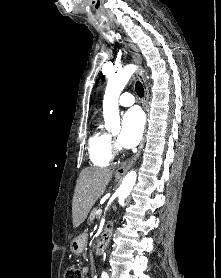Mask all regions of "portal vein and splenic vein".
I'll list each match as a JSON object with an SVG mask.
<instances>
[{
  "label": "portal vein and splenic vein",
  "instance_id": "18ae733b",
  "mask_svg": "<svg viewBox=\"0 0 221 278\" xmlns=\"http://www.w3.org/2000/svg\"><path fill=\"white\" fill-rule=\"evenodd\" d=\"M102 212H103V211H102V209H99V210H97V212H96V213H97V215H101V214H102Z\"/></svg>",
  "mask_w": 221,
  "mask_h": 278
}]
</instances>
